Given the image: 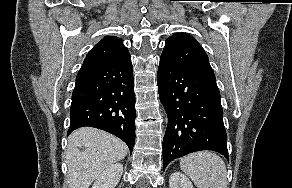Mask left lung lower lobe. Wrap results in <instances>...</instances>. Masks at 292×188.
<instances>
[{"instance_id": "left-lung-lower-lobe-1", "label": "left lung lower lobe", "mask_w": 292, "mask_h": 188, "mask_svg": "<svg viewBox=\"0 0 292 188\" xmlns=\"http://www.w3.org/2000/svg\"><path fill=\"white\" fill-rule=\"evenodd\" d=\"M157 84L168 114L163 167L176 158L200 150H214L228 158L216 80L160 58Z\"/></svg>"}]
</instances>
